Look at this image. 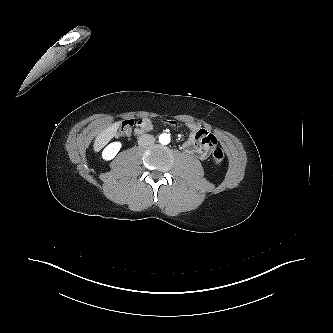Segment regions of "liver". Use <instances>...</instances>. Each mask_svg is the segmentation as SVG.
Here are the masks:
<instances>
[{
	"label": "liver",
	"instance_id": "1",
	"mask_svg": "<svg viewBox=\"0 0 333 333\" xmlns=\"http://www.w3.org/2000/svg\"><path fill=\"white\" fill-rule=\"evenodd\" d=\"M120 126V122H115L106 129H104L96 138L94 142L95 151L100 150L104 147L116 134L117 129Z\"/></svg>",
	"mask_w": 333,
	"mask_h": 333
}]
</instances>
